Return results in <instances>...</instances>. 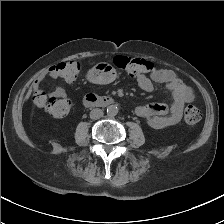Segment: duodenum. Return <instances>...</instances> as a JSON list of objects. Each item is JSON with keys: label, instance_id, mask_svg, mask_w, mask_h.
I'll list each match as a JSON object with an SVG mask.
<instances>
[{"label": "duodenum", "instance_id": "duodenum-1", "mask_svg": "<svg viewBox=\"0 0 224 224\" xmlns=\"http://www.w3.org/2000/svg\"><path fill=\"white\" fill-rule=\"evenodd\" d=\"M115 103V99L111 96H89L86 97L83 100V105L85 107H91V106H100V107H106L111 106Z\"/></svg>", "mask_w": 224, "mask_h": 224}]
</instances>
